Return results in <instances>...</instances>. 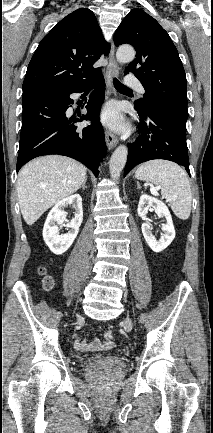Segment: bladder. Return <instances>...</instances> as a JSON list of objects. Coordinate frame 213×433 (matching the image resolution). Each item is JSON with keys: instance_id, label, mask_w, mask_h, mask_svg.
Instances as JSON below:
<instances>
[{"instance_id": "obj_1", "label": "bladder", "mask_w": 213, "mask_h": 433, "mask_svg": "<svg viewBox=\"0 0 213 433\" xmlns=\"http://www.w3.org/2000/svg\"><path fill=\"white\" fill-rule=\"evenodd\" d=\"M101 357H103V356L102 355L97 356V358H101Z\"/></svg>"}]
</instances>
